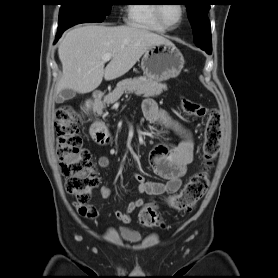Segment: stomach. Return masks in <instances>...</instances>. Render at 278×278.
<instances>
[{
	"label": "stomach",
	"instance_id": "0dacf381",
	"mask_svg": "<svg viewBox=\"0 0 278 278\" xmlns=\"http://www.w3.org/2000/svg\"><path fill=\"white\" fill-rule=\"evenodd\" d=\"M184 57L173 43L150 46L141 60V68L147 78L163 81L176 78L184 67Z\"/></svg>",
	"mask_w": 278,
	"mask_h": 278
}]
</instances>
